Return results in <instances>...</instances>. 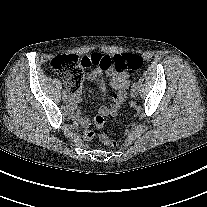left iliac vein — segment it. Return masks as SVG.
<instances>
[{"mask_svg": "<svg viewBox=\"0 0 207 207\" xmlns=\"http://www.w3.org/2000/svg\"><path fill=\"white\" fill-rule=\"evenodd\" d=\"M131 97L135 98L138 95V90L137 88L133 87L130 91Z\"/></svg>", "mask_w": 207, "mask_h": 207, "instance_id": "1", "label": "left iliac vein"}]
</instances>
